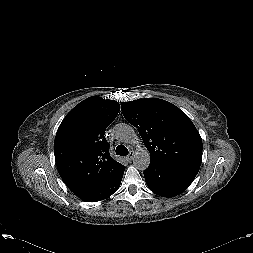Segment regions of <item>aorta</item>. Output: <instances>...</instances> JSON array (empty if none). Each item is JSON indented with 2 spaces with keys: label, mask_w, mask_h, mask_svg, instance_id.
I'll return each mask as SVG.
<instances>
[{
  "label": "aorta",
  "mask_w": 253,
  "mask_h": 253,
  "mask_svg": "<svg viewBox=\"0 0 253 253\" xmlns=\"http://www.w3.org/2000/svg\"><path fill=\"white\" fill-rule=\"evenodd\" d=\"M114 134L116 139L123 143L139 146L133 156V164L139 170L147 169L150 164V154L145 148L140 147L141 140L133 127L129 124L120 123L115 126Z\"/></svg>",
  "instance_id": "762f6f07"
}]
</instances>
